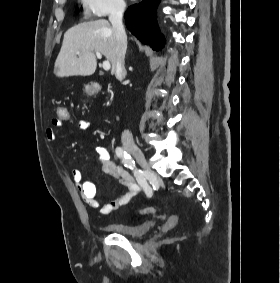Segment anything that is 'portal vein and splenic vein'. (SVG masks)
I'll return each mask as SVG.
<instances>
[{
  "label": "portal vein and splenic vein",
  "mask_w": 280,
  "mask_h": 283,
  "mask_svg": "<svg viewBox=\"0 0 280 283\" xmlns=\"http://www.w3.org/2000/svg\"><path fill=\"white\" fill-rule=\"evenodd\" d=\"M96 56L101 59L102 58V54L99 51H95ZM103 69L108 71L110 69V62L109 61H104L103 64Z\"/></svg>",
  "instance_id": "1"
}]
</instances>
